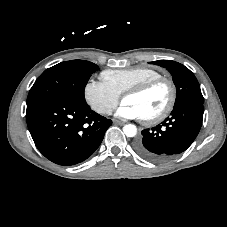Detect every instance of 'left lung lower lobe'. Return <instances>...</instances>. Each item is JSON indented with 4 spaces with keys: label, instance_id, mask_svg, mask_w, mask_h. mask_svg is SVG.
<instances>
[{
    "label": "left lung lower lobe",
    "instance_id": "1",
    "mask_svg": "<svg viewBox=\"0 0 227 227\" xmlns=\"http://www.w3.org/2000/svg\"><path fill=\"white\" fill-rule=\"evenodd\" d=\"M203 103L192 100L175 106L161 124L141 132L142 137L134 144L135 151L153 162L168 160L185 151L200 131Z\"/></svg>",
    "mask_w": 227,
    "mask_h": 227
}]
</instances>
